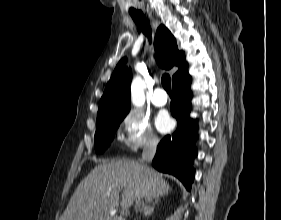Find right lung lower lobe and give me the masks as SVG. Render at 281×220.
I'll list each match as a JSON object with an SVG mask.
<instances>
[{
    "mask_svg": "<svg viewBox=\"0 0 281 220\" xmlns=\"http://www.w3.org/2000/svg\"><path fill=\"white\" fill-rule=\"evenodd\" d=\"M191 79L173 84L171 112L177 120V129L159 143L153 166L161 172L176 176L187 190H191L195 170L193 159L197 155V122L189 118L192 92Z\"/></svg>",
    "mask_w": 281,
    "mask_h": 220,
    "instance_id": "98d812e1",
    "label": "right lung lower lobe"
}]
</instances>
